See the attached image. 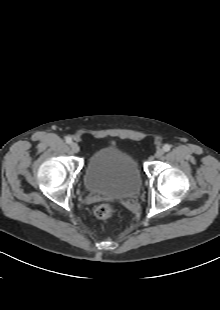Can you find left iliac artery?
Returning <instances> with one entry per match:
<instances>
[{"label":"left iliac artery","instance_id":"44dca946","mask_svg":"<svg viewBox=\"0 0 220 310\" xmlns=\"http://www.w3.org/2000/svg\"><path fill=\"white\" fill-rule=\"evenodd\" d=\"M170 149H171V146H170L169 144H165V145L163 146V150H164L165 152L170 151Z\"/></svg>","mask_w":220,"mask_h":310}]
</instances>
